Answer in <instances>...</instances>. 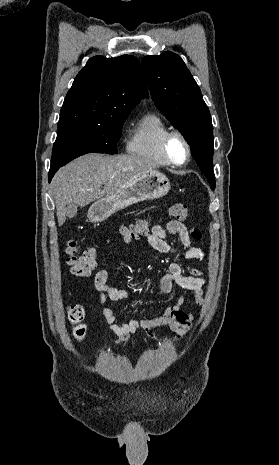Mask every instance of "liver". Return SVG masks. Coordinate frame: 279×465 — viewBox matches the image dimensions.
I'll use <instances>...</instances> for the list:
<instances>
[{"mask_svg": "<svg viewBox=\"0 0 279 465\" xmlns=\"http://www.w3.org/2000/svg\"><path fill=\"white\" fill-rule=\"evenodd\" d=\"M153 171L149 160L137 155L87 154L60 168L51 182L59 226L65 223L66 207H84L113 194L134 176ZM103 186V187H102Z\"/></svg>", "mask_w": 279, "mask_h": 465, "instance_id": "1", "label": "liver"}]
</instances>
